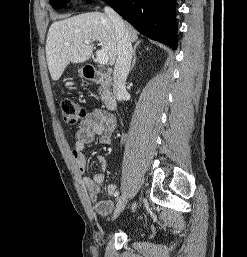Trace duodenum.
Instances as JSON below:
<instances>
[{
	"mask_svg": "<svg viewBox=\"0 0 247 257\" xmlns=\"http://www.w3.org/2000/svg\"><path fill=\"white\" fill-rule=\"evenodd\" d=\"M84 77L93 83L102 84L107 87V91L104 95L105 107L112 111L116 108V97L113 93V76L110 73L101 72L91 65L84 67Z\"/></svg>",
	"mask_w": 247,
	"mask_h": 257,
	"instance_id": "duodenum-1",
	"label": "duodenum"
}]
</instances>
